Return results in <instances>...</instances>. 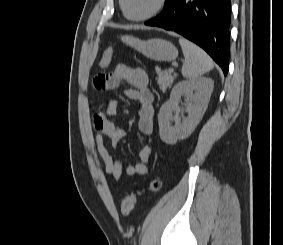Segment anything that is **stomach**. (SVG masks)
I'll return each mask as SVG.
<instances>
[{
	"label": "stomach",
	"instance_id": "stomach-1",
	"mask_svg": "<svg viewBox=\"0 0 283 245\" xmlns=\"http://www.w3.org/2000/svg\"><path fill=\"white\" fill-rule=\"evenodd\" d=\"M122 41L155 61H173L178 56L177 48L163 39L141 40L133 36H123Z\"/></svg>",
	"mask_w": 283,
	"mask_h": 245
}]
</instances>
